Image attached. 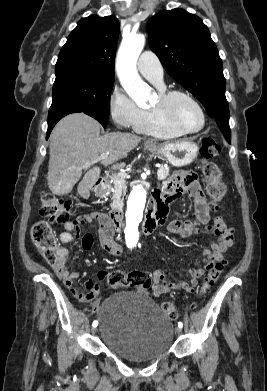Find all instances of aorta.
<instances>
[{"label": "aorta", "mask_w": 267, "mask_h": 391, "mask_svg": "<svg viewBox=\"0 0 267 391\" xmlns=\"http://www.w3.org/2000/svg\"><path fill=\"white\" fill-rule=\"evenodd\" d=\"M143 34H127L118 50L116 67L120 83L128 96L138 105L145 106L152 97L151 88L137 72V60L144 48ZM147 192L142 184L133 187L127 202L125 236L129 246H135L139 237Z\"/></svg>", "instance_id": "762f6f07"}]
</instances>
